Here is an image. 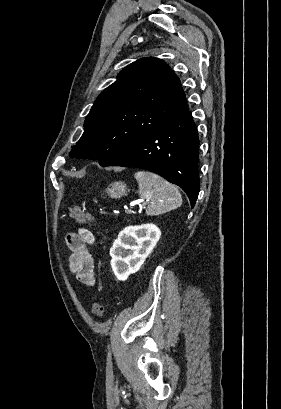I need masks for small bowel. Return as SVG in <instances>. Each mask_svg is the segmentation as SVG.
<instances>
[{
	"instance_id": "1",
	"label": "small bowel",
	"mask_w": 281,
	"mask_h": 409,
	"mask_svg": "<svg viewBox=\"0 0 281 409\" xmlns=\"http://www.w3.org/2000/svg\"><path fill=\"white\" fill-rule=\"evenodd\" d=\"M70 249L69 269L75 278L85 286L96 282L95 259L89 247L94 245L95 237L86 228L71 232L66 236Z\"/></svg>"
}]
</instances>
